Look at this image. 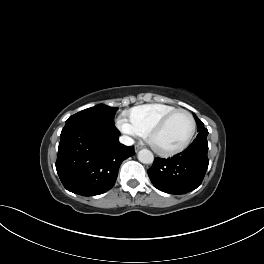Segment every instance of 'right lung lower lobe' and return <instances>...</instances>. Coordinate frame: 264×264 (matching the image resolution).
<instances>
[{"label":"right lung lower lobe","mask_w":264,"mask_h":264,"mask_svg":"<svg viewBox=\"0 0 264 264\" xmlns=\"http://www.w3.org/2000/svg\"><path fill=\"white\" fill-rule=\"evenodd\" d=\"M119 136L115 126L66 124L61 132L56 161L64 187L82 196L110 190L122 161L135 154L134 146L119 143Z\"/></svg>","instance_id":"98d812e1"}]
</instances>
